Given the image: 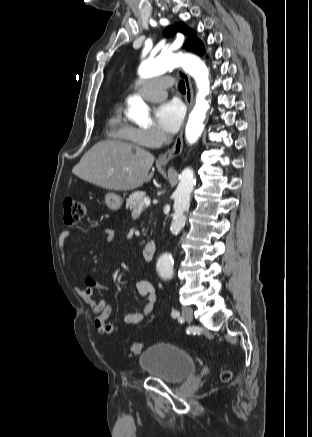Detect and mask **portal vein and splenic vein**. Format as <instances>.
Wrapping results in <instances>:
<instances>
[{
    "label": "portal vein and splenic vein",
    "mask_w": 312,
    "mask_h": 437,
    "mask_svg": "<svg viewBox=\"0 0 312 437\" xmlns=\"http://www.w3.org/2000/svg\"><path fill=\"white\" fill-rule=\"evenodd\" d=\"M144 204L145 205H149L150 204V199L148 197L144 198ZM142 209V206H139L137 209H135L134 211H140Z\"/></svg>",
    "instance_id": "18ae733b"
}]
</instances>
